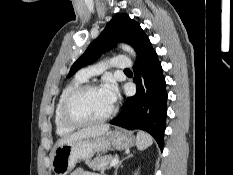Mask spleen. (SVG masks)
Segmentation results:
<instances>
[{
  "label": "spleen",
  "instance_id": "1",
  "mask_svg": "<svg viewBox=\"0 0 233 175\" xmlns=\"http://www.w3.org/2000/svg\"><path fill=\"white\" fill-rule=\"evenodd\" d=\"M152 143H153V139L148 133L144 131H139L137 133L136 145L139 150H144L148 148L149 146L152 145Z\"/></svg>",
  "mask_w": 233,
  "mask_h": 175
}]
</instances>
